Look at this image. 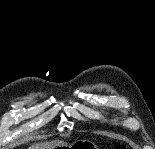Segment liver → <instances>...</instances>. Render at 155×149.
<instances>
[{"label": "liver", "instance_id": "obj_1", "mask_svg": "<svg viewBox=\"0 0 155 149\" xmlns=\"http://www.w3.org/2000/svg\"><path fill=\"white\" fill-rule=\"evenodd\" d=\"M67 144L64 141H50L34 144L29 149H55L57 147H64Z\"/></svg>", "mask_w": 155, "mask_h": 149}]
</instances>
